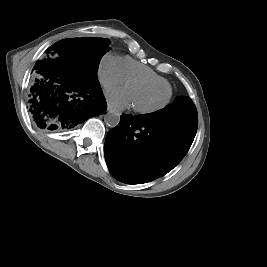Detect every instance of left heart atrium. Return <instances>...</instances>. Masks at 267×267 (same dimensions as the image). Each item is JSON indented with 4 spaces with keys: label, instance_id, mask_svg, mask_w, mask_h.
Masks as SVG:
<instances>
[{
    "label": "left heart atrium",
    "instance_id": "39dd6f15",
    "mask_svg": "<svg viewBox=\"0 0 267 267\" xmlns=\"http://www.w3.org/2000/svg\"><path fill=\"white\" fill-rule=\"evenodd\" d=\"M105 95L113 107L121 109L132 105L131 95L127 87L107 89Z\"/></svg>",
    "mask_w": 267,
    "mask_h": 267
}]
</instances>
